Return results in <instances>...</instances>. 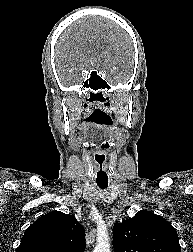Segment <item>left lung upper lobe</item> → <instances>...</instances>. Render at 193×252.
<instances>
[{"label":"left lung upper lobe","instance_id":"1","mask_svg":"<svg viewBox=\"0 0 193 252\" xmlns=\"http://www.w3.org/2000/svg\"><path fill=\"white\" fill-rule=\"evenodd\" d=\"M113 234L115 252H181L176 229L148 211L115 223Z\"/></svg>","mask_w":193,"mask_h":252}]
</instances>
